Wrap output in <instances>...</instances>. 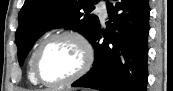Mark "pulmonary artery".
Listing matches in <instances>:
<instances>
[{"mask_svg":"<svg viewBox=\"0 0 173 91\" xmlns=\"http://www.w3.org/2000/svg\"><path fill=\"white\" fill-rule=\"evenodd\" d=\"M97 11L100 14V17L105 20L107 18V11L105 8V5L103 4V1H101L97 7Z\"/></svg>","mask_w":173,"mask_h":91,"instance_id":"1","label":"pulmonary artery"}]
</instances>
